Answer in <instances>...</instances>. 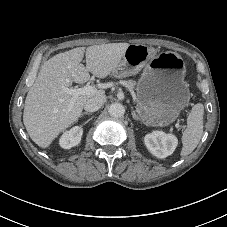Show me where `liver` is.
<instances>
[{
  "label": "liver",
  "instance_id": "liver-1",
  "mask_svg": "<svg viewBox=\"0 0 227 227\" xmlns=\"http://www.w3.org/2000/svg\"><path fill=\"white\" fill-rule=\"evenodd\" d=\"M128 43H108L78 47L59 53L40 68L25 100L23 123L30 138L40 147L47 148L64 130L74 124L82 114L85 102L95 96H104L103 90L94 94L72 95L64 91L72 83L83 84L90 73L107 77L121 62ZM86 57V66L81 61Z\"/></svg>",
  "mask_w": 227,
  "mask_h": 227
}]
</instances>
